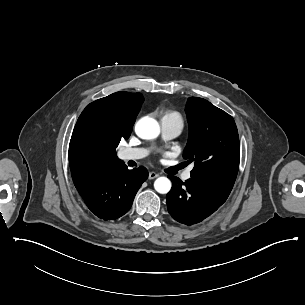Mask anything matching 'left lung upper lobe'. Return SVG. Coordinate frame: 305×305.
Listing matches in <instances>:
<instances>
[{
  "label": "left lung upper lobe",
  "mask_w": 305,
  "mask_h": 305,
  "mask_svg": "<svg viewBox=\"0 0 305 305\" xmlns=\"http://www.w3.org/2000/svg\"><path fill=\"white\" fill-rule=\"evenodd\" d=\"M185 110L190 133L183 157L195 162L191 178L232 188L240 161L234 119L198 97H190Z\"/></svg>",
  "instance_id": "1"
}]
</instances>
